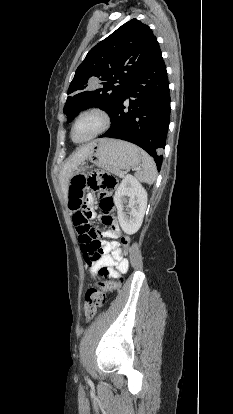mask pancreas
Returning a JSON list of instances; mask_svg holds the SVG:
<instances>
[{
	"mask_svg": "<svg viewBox=\"0 0 233 414\" xmlns=\"http://www.w3.org/2000/svg\"><path fill=\"white\" fill-rule=\"evenodd\" d=\"M114 174H116L119 177H123L124 176L122 171H116V172H114Z\"/></svg>",
	"mask_w": 233,
	"mask_h": 414,
	"instance_id": "pancreas-1",
	"label": "pancreas"
}]
</instances>
